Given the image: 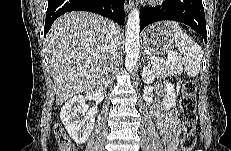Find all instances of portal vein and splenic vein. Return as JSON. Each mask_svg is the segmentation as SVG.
Masks as SVG:
<instances>
[{
    "instance_id": "portal-vein-and-splenic-vein-1",
    "label": "portal vein and splenic vein",
    "mask_w": 231,
    "mask_h": 151,
    "mask_svg": "<svg viewBox=\"0 0 231 151\" xmlns=\"http://www.w3.org/2000/svg\"><path fill=\"white\" fill-rule=\"evenodd\" d=\"M177 56V54H169L166 58V60H161L159 59L158 57H151V59L155 60V61H158V62H164V63H169V62H172L174 61L175 57Z\"/></svg>"
}]
</instances>
